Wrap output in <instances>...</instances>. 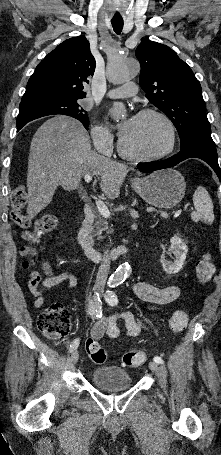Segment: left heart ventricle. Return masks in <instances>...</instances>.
<instances>
[{
  "label": "left heart ventricle",
  "mask_w": 221,
  "mask_h": 455,
  "mask_svg": "<svg viewBox=\"0 0 221 455\" xmlns=\"http://www.w3.org/2000/svg\"><path fill=\"white\" fill-rule=\"evenodd\" d=\"M121 139L128 151L150 154L167 146L168 133L162 121L155 116L134 117L129 131Z\"/></svg>",
  "instance_id": "1"
}]
</instances>
